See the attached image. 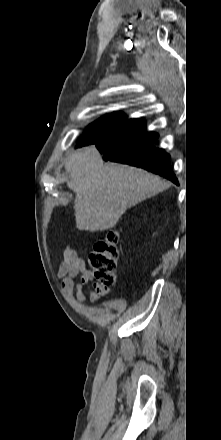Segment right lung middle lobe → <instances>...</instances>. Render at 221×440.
<instances>
[{
    "mask_svg": "<svg viewBox=\"0 0 221 440\" xmlns=\"http://www.w3.org/2000/svg\"><path fill=\"white\" fill-rule=\"evenodd\" d=\"M126 121V116L122 112L102 117L88 128L87 132L78 141L76 147L96 143L100 139L108 136Z\"/></svg>",
    "mask_w": 221,
    "mask_h": 440,
    "instance_id": "obj_1",
    "label": "right lung middle lobe"
}]
</instances>
